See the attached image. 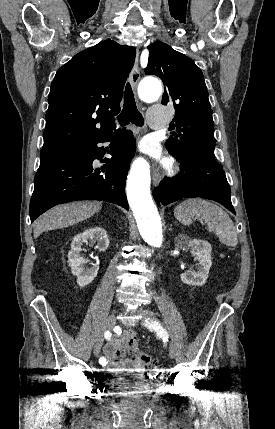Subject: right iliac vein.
<instances>
[{"label": "right iliac vein", "instance_id": "obj_1", "mask_svg": "<svg viewBox=\"0 0 275 429\" xmlns=\"http://www.w3.org/2000/svg\"><path fill=\"white\" fill-rule=\"evenodd\" d=\"M115 324H116V318H115V315L112 314L107 318L105 325H104V329L107 331H110L114 328ZM103 341H104V338H103V335L101 334L98 336L96 343L94 345V355L95 356H98V354L100 353L101 347L103 345Z\"/></svg>", "mask_w": 275, "mask_h": 429}]
</instances>
